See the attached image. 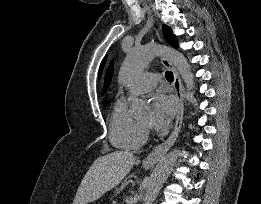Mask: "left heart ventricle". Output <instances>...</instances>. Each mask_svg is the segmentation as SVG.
I'll return each instance as SVG.
<instances>
[{
	"instance_id": "b2bd125f",
	"label": "left heart ventricle",
	"mask_w": 261,
	"mask_h": 204,
	"mask_svg": "<svg viewBox=\"0 0 261 204\" xmlns=\"http://www.w3.org/2000/svg\"><path fill=\"white\" fill-rule=\"evenodd\" d=\"M149 121H150V114L145 115V116L141 119V122H142V123H145V124H148Z\"/></svg>"
}]
</instances>
